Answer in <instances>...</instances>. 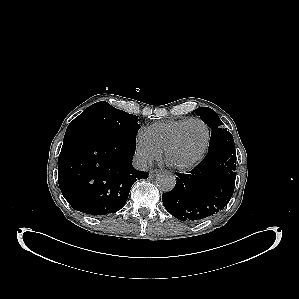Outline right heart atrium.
I'll return each mask as SVG.
<instances>
[{"instance_id": "right-heart-atrium-1", "label": "right heart atrium", "mask_w": 299, "mask_h": 299, "mask_svg": "<svg viewBox=\"0 0 299 299\" xmlns=\"http://www.w3.org/2000/svg\"><path fill=\"white\" fill-rule=\"evenodd\" d=\"M161 151L152 146L143 134H139L135 143V158L141 167H146L158 159Z\"/></svg>"}]
</instances>
